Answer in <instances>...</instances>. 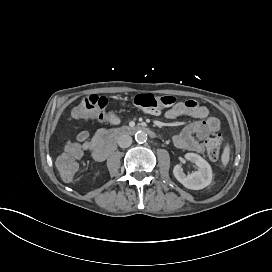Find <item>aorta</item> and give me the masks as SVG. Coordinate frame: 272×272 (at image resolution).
<instances>
[{
    "mask_svg": "<svg viewBox=\"0 0 272 272\" xmlns=\"http://www.w3.org/2000/svg\"><path fill=\"white\" fill-rule=\"evenodd\" d=\"M135 137V140L138 142V143H142V142H145L147 140V134L144 132V131H137L134 135Z\"/></svg>",
    "mask_w": 272,
    "mask_h": 272,
    "instance_id": "762f6f07",
    "label": "aorta"
}]
</instances>
